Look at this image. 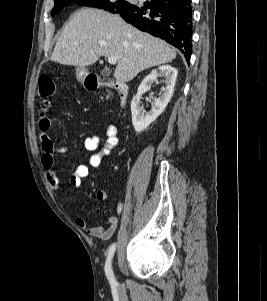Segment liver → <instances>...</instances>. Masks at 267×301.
<instances>
[{"instance_id":"1","label":"liver","mask_w":267,"mask_h":301,"mask_svg":"<svg viewBox=\"0 0 267 301\" xmlns=\"http://www.w3.org/2000/svg\"><path fill=\"white\" fill-rule=\"evenodd\" d=\"M101 56H116L114 77L129 82L145 69L171 62L176 51L161 39L127 24L117 14L82 8L65 26L51 60L85 68Z\"/></svg>"}]
</instances>
